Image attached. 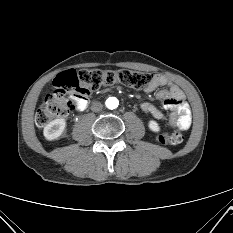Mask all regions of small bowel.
Listing matches in <instances>:
<instances>
[{"mask_svg": "<svg viewBox=\"0 0 233 233\" xmlns=\"http://www.w3.org/2000/svg\"><path fill=\"white\" fill-rule=\"evenodd\" d=\"M144 91L147 93L155 92L154 96L162 102L163 108L171 111V114L166 117L165 114L152 103L143 102L141 104V110L145 114L158 120H167L169 126L172 128H177L179 130L189 129L192 123V113L189 104L185 100V94L179 87L172 84L165 76L156 74L152 77L151 83ZM88 104V99L81 101L77 109L83 111L88 107Z\"/></svg>", "mask_w": 233, "mask_h": 233, "instance_id": "1", "label": "small bowel"}]
</instances>
